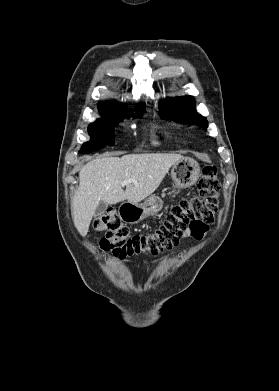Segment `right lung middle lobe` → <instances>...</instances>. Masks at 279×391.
I'll return each mask as SVG.
<instances>
[{
    "label": "right lung middle lobe",
    "instance_id": "right-lung-middle-lobe-1",
    "mask_svg": "<svg viewBox=\"0 0 279 391\" xmlns=\"http://www.w3.org/2000/svg\"><path fill=\"white\" fill-rule=\"evenodd\" d=\"M144 109L136 111L134 117H140ZM102 118L98 119L88 127L91 140L84 143L80 150V153H90L92 151L101 149L106 145L114 144V126L120 122L126 113H108L101 114Z\"/></svg>",
    "mask_w": 279,
    "mask_h": 391
}]
</instances>
